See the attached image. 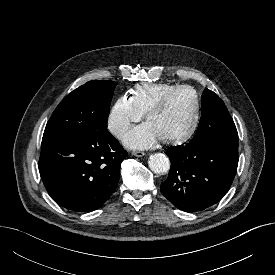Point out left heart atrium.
Wrapping results in <instances>:
<instances>
[{
    "mask_svg": "<svg viewBox=\"0 0 275 275\" xmlns=\"http://www.w3.org/2000/svg\"><path fill=\"white\" fill-rule=\"evenodd\" d=\"M159 140V135L147 122L132 129L125 136L124 144L130 149H147L156 145Z\"/></svg>",
    "mask_w": 275,
    "mask_h": 275,
    "instance_id": "39dd6f15",
    "label": "left heart atrium"
}]
</instances>
